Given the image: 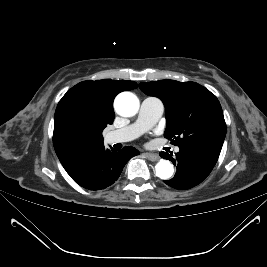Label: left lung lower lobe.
<instances>
[{"mask_svg":"<svg viewBox=\"0 0 267 267\" xmlns=\"http://www.w3.org/2000/svg\"><path fill=\"white\" fill-rule=\"evenodd\" d=\"M176 157L167 152L160 156L177 165L175 176L164 182L180 190L190 189L201 183L212 171L220 151L209 147H182Z\"/></svg>","mask_w":267,"mask_h":267,"instance_id":"left-lung-lower-lobe-1","label":"left lung lower lobe"}]
</instances>
